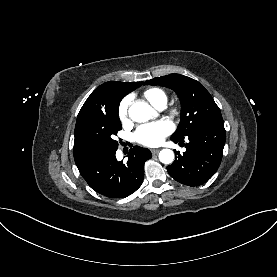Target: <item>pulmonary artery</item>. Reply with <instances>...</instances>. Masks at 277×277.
<instances>
[{"label": "pulmonary artery", "instance_id": "obj_1", "mask_svg": "<svg viewBox=\"0 0 277 277\" xmlns=\"http://www.w3.org/2000/svg\"><path fill=\"white\" fill-rule=\"evenodd\" d=\"M164 106H160L158 109H162Z\"/></svg>", "mask_w": 277, "mask_h": 277}]
</instances>
